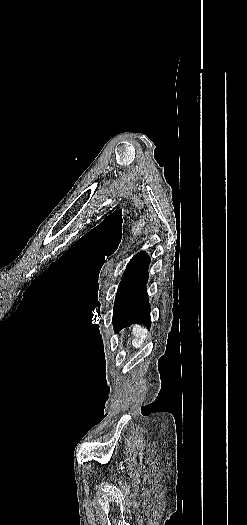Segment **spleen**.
<instances>
[{
  "instance_id": "1",
  "label": "spleen",
  "mask_w": 247,
  "mask_h": 525,
  "mask_svg": "<svg viewBox=\"0 0 247 525\" xmlns=\"http://www.w3.org/2000/svg\"><path fill=\"white\" fill-rule=\"evenodd\" d=\"M147 333V329L142 327V325H133V337H135V339H133L132 345L135 349H141L144 341H146L148 337Z\"/></svg>"
}]
</instances>
